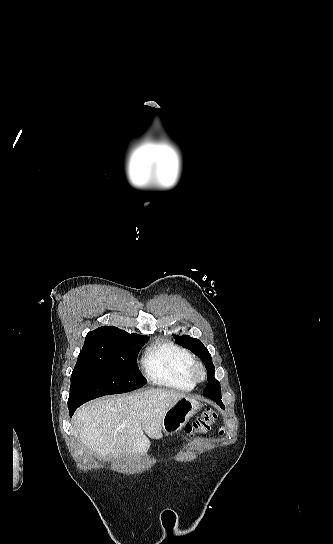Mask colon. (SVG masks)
Returning a JSON list of instances; mask_svg holds the SVG:
<instances>
[{
	"label": "colon",
	"mask_w": 333,
	"mask_h": 544,
	"mask_svg": "<svg viewBox=\"0 0 333 544\" xmlns=\"http://www.w3.org/2000/svg\"><path fill=\"white\" fill-rule=\"evenodd\" d=\"M218 416V412L214 409H205L195 421L185 427L183 437L185 439H190L197 434L207 432L217 420Z\"/></svg>",
	"instance_id": "1"
}]
</instances>
